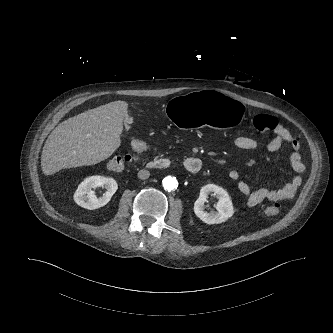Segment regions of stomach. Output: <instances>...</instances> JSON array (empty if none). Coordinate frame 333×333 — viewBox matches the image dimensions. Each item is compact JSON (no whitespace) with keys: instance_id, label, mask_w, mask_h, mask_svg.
I'll list each match as a JSON object with an SVG mask.
<instances>
[{"instance_id":"stomach-1","label":"stomach","mask_w":333,"mask_h":333,"mask_svg":"<svg viewBox=\"0 0 333 333\" xmlns=\"http://www.w3.org/2000/svg\"><path fill=\"white\" fill-rule=\"evenodd\" d=\"M167 113L173 124L182 130L196 129L202 125L211 129L231 130L243 118L238 100L215 91H196L172 98Z\"/></svg>"}]
</instances>
